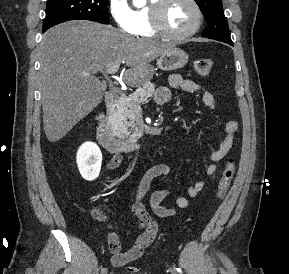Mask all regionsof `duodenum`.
<instances>
[{"label": "duodenum", "mask_w": 289, "mask_h": 274, "mask_svg": "<svg viewBox=\"0 0 289 274\" xmlns=\"http://www.w3.org/2000/svg\"><path fill=\"white\" fill-rule=\"evenodd\" d=\"M116 106V98L112 92L105 95V115L97 126V139L108 152L114 154L128 153L139 150L142 143L131 142L116 137L112 128V117Z\"/></svg>", "instance_id": "duodenum-1"}]
</instances>
